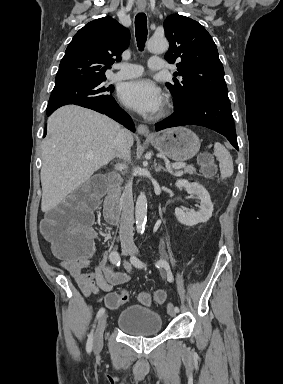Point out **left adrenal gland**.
<instances>
[{"instance_id":"obj_1","label":"left adrenal gland","mask_w":283,"mask_h":384,"mask_svg":"<svg viewBox=\"0 0 283 384\" xmlns=\"http://www.w3.org/2000/svg\"><path fill=\"white\" fill-rule=\"evenodd\" d=\"M161 170H163V172H168V170H166V168H163V166H160V164H155V172H161Z\"/></svg>"}]
</instances>
